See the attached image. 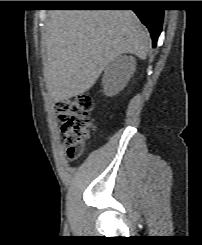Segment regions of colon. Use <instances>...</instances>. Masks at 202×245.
<instances>
[{
	"mask_svg": "<svg viewBox=\"0 0 202 245\" xmlns=\"http://www.w3.org/2000/svg\"><path fill=\"white\" fill-rule=\"evenodd\" d=\"M93 102L89 95L81 94L58 103L56 111L67 144L66 155L75 160L86 145L91 129Z\"/></svg>",
	"mask_w": 202,
	"mask_h": 245,
	"instance_id": "obj_1",
	"label": "colon"
}]
</instances>
